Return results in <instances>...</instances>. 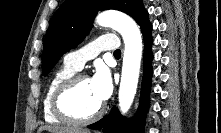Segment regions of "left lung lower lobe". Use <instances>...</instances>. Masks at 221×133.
Masks as SVG:
<instances>
[{
    "label": "left lung lower lobe",
    "instance_id": "obj_1",
    "mask_svg": "<svg viewBox=\"0 0 221 133\" xmlns=\"http://www.w3.org/2000/svg\"><path fill=\"white\" fill-rule=\"evenodd\" d=\"M144 36V74L141 86L140 104L135 117L128 121L123 118L114 107L111 112L98 122L88 126L90 129H102L104 133H143L144 118L149 105V92L152 77L151 30L152 25L147 23L141 28Z\"/></svg>",
    "mask_w": 221,
    "mask_h": 133
}]
</instances>
